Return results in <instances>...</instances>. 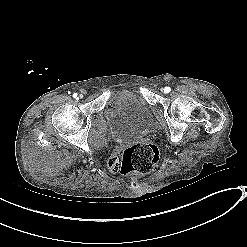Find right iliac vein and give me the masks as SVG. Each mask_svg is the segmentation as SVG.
Wrapping results in <instances>:
<instances>
[{"mask_svg":"<svg viewBox=\"0 0 247 247\" xmlns=\"http://www.w3.org/2000/svg\"><path fill=\"white\" fill-rule=\"evenodd\" d=\"M79 97H80V98H83V95H82V94H80V95H79Z\"/></svg>","mask_w":247,"mask_h":247,"instance_id":"obj_1","label":"right iliac vein"}]
</instances>
